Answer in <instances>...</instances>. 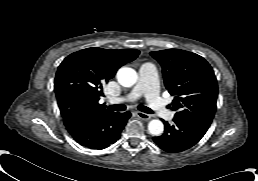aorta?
Wrapping results in <instances>:
<instances>
[{
  "mask_svg": "<svg viewBox=\"0 0 258 181\" xmlns=\"http://www.w3.org/2000/svg\"><path fill=\"white\" fill-rule=\"evenodd\" d=\"M137 73L129 67H122L117 72V80L124 87H132L137 82ZM148 130L154 136H159L163 133L164 125L158 119H153L148 123Z\"/></svg>",
  "mask_w": 258,
  "mask_h": 181,
  "instance_id": "obj_1",
  "label": "aorta"
}]
</instances>
